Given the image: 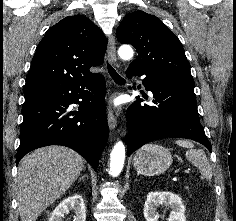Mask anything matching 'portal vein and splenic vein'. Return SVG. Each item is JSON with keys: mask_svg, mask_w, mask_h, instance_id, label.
Wrapping results in <instances>:
<instances>
[{"mask_svg": "<svg viewBox=\"0 0 236 221\" xmlns=\"http://www.w3.org/2000/svg\"><path fill=\"white\" fill-rule=\"evenodd\" d=\"M190 171V169H185L184 173H188Z\"/></svg>", "mask_w": 236, "mask_h": 221, "instance_id": "18ae733b", "label": "portal vein and splenic vein"}]
</instances>
